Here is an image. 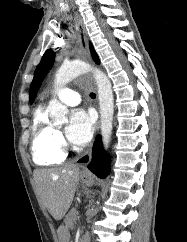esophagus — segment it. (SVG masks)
Segmentation results:
<instances>
[{"label": "esophagus", "instance_id": "esophagus-1", "mask_svg": "<svg viewBox=\"0 0 187 242\" xmlns=\"http://www.w3.org/2000/svg\"><path fill=\"white\" fill-rule=\"evenodd\" d=\"M75 24L78 31V38H79L81 51L84 57L90 60V50H89L87 32L83 24L82 18L78 14H75ZM83 171H86V169H84Z\"/></svg>", "mask_w": 187, "mask_h": 242}]
</instances>
